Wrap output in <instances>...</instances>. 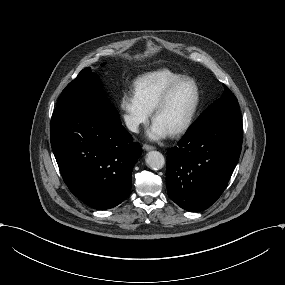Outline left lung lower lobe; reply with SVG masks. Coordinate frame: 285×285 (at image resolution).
I'll return each instance as SVG.
<instances>
[{
  "label": "left lung lower lobe",
  "mask_w": 285,
  "mask_h": 285,
  "mask_svg": "<svg viewBox=\"0 0 285 285\" xmlns=\"http://www.w3.org/2000/svg\"><path fill=\"white\" fill-rule=\"evenodd\" d=\"M242 139L239 108L215 112L193 124L177 146L167 152L169 197L191 212L210 207L229 182Z\"/></svg>",
  "instance_id": "1"
}]
</instances>
